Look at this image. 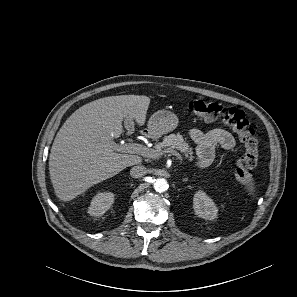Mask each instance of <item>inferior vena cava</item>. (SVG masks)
<instances>
[{
  "instance_id": "1",
  "label": "inferior vena cava",
  "mask_w": 297,
  "mask_h": 297,
  "mask_svg": "<svg viewBox=\"0 0 297 297\" xmlns=\"http://www.w3.org/2000/svg\"><path fill=\"white\" fill-rule=\"evenodd\" d=\"M146 174L147 168L142 165L134 166L130 170V175L132 178H141Z\"/></svg>"
}]
</instances>
